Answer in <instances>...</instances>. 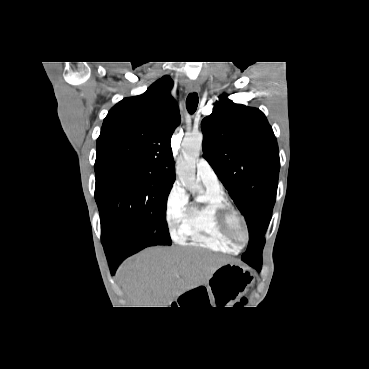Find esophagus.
<instances>
[{"mask_svg":"<svg viewBox=\"0 0 369 369\" xmlns=\"http://www.w3.org/2000/svg\"><path fill=\"white\" fill-rule=\"evenodd\" d=\"M200 90V86L197 83H190L189 84V91L190 92H198Z\"/></svg>","mask_w":369,"mask_h":369,"instance_id":"1","label":"esophagus"}]
</instances>
